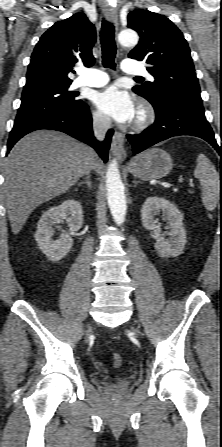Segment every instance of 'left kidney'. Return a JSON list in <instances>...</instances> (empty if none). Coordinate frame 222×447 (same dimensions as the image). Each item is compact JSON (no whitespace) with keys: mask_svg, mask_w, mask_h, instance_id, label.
Instances as JSON below:
<instances>
[{"mask_svg":"<svg viewBox=\"0 0 222 447\" xmlns=\"http://www.w3.org/2000/svg\"><path fill=\"white\" fill-rule=\"evenodd\" d=\"M160 213L168 220V239H165L160 226L156 224L155 216ZM141 219L143 226L153 231L156 240L154 248L161 257H176L182 253L186 244L183 216L172 202L163 197L147 198L141 209Z\"/></svg>","mask_w":222,"mask_h":447,"instance_id":"5707ae66","label":"left kidney"}]
</instances>
